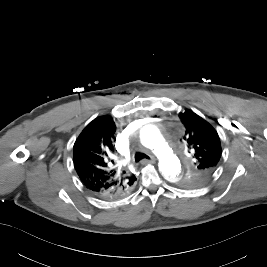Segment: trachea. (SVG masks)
<instances>
[{"label": "trachea", "instance_id": "trachea-1", "mask_svg": "<svg viewBox=\"0 0 267 267\" xmlns=\"http://www.w3.org/2000/svg\"><path fill=\"white\" fill-rule=\"evenodd\" d=\"M134 158H135V162L137 163L141 161L142 159H150L148 155L142 152H136Z\"/></svg>", "mask_w": 267, "mask_h": 267}]
</instances>
